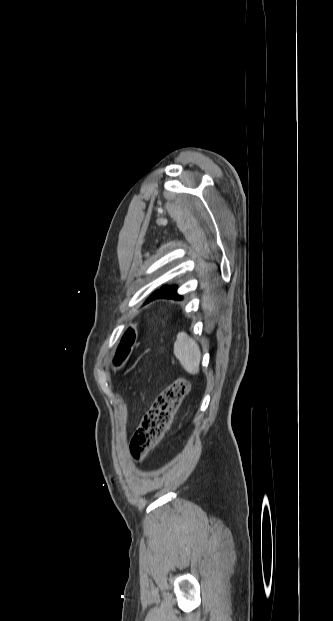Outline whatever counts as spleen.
Returning a JSON list of instances; mask_svg holds the SVG:
<instances>
[{
  "label": "spleen",
  "mask_w": 333,
  "mask_h": 621,
  "mask_svg": "<svg viewBox=\"0 0 333 621\" xmlns=\"http://www.w3.org/2000/svg\"><path fill=\"white\" fill-rule=\"evenodd\" d=\"M174 355L190 374L199 373L201 351L198 344L185 333L178 335L174 343Z\"/></svg>",
  "instance_id": "spleen-1"
}]
</instances>
